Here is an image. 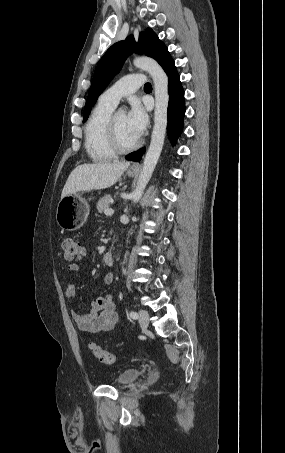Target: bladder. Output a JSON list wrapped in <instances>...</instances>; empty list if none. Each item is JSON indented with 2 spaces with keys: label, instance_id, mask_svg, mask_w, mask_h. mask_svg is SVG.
<instances>
[{
  "label": "bladder",
  "instance_id": "31cf9c89",
  "mask_svg": "<svg viewBox=\"0 0 285 453\" xmlns=\"http://www.w3.org/2000/svg\"><path fill=\"white\" fill-rule=\"evenodd\" d=\"M141 375V371L138 370V369H127V370H124L123 372H121L116 380H115V383L117 385H126V384H129L133 381H135L139 376Z\"/></svg>",
  "mask_w": 285,
  "mask_h": 453
}]
</instances>
